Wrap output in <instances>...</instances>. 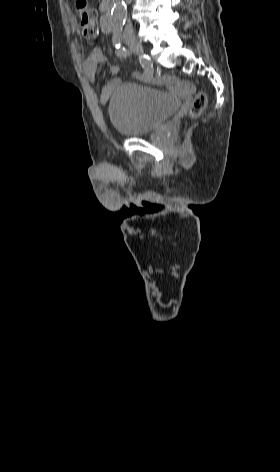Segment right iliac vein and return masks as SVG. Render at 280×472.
Returning a JSON list of instances; mask_svg holds the SVG:
<instances>
[{"label": "right iliac vein", "mask_w": 280, "mask_h": 472, "mask_svg": "<svg viewBox=\"0 0 280 472\" xmlns=\"http://www.w3.org/2000/svg\"><path fill=\"white\" fill-rule=\"evenodd\" d=\"M127 43L130 46V49L136 54H142L144 52L142 45L135 37H128Z\"/></svg>", "instance_id": "obj_1"}]
</instances>
